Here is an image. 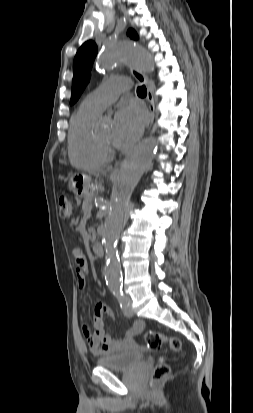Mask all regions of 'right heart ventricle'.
Instances as JSON below:
<instances>
[{
    "label": "right heart ventricle",
    "mask_w": 253,
    "mask_h": 413,
    "mask_svg": "<svg viewBox=\"0 0 253 413\" xmlns=\"http://www.w3.org/2000/svg\"><path fill=\"white\" fill-rule=\"evenodd\" d=\"M98 114L82 105L70 120L68 136V156L77 167L95 169L103 166L107 156L103 154L96 142L93 124Z\"/></svg>",
    "instance_id": "e07e8e85"
}]
</instances>
